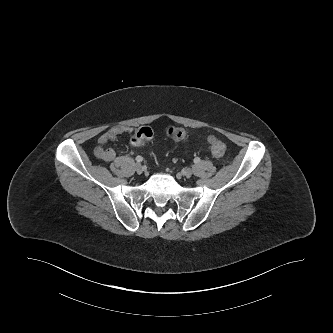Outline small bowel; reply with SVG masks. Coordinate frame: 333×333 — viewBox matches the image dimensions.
Returning <instances> with one entry per match:
<instances>
[{
	"label": "small bowel",
	"mask_w": 333,
	"mask_h": 333,
	"mask_svg": "<svg viewBox=\"0 0 333 333\" xmlns=\"http://www.w3.org/2000/svg\"><path fill=\"white\" fill-rule=\"evenodd\" d=\"M132 133L133 128L128 126L112 127L99 137L97 145L94 148L95 156L105 162L113 161L116 157V153L113 149L107 148L106 145L119 139L122 136L130 135Z\"/></svg>",
	"instance_id": "obj_1"
}]
</instances>
